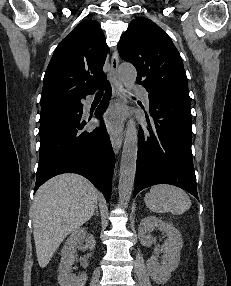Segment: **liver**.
Listing matches in <instances>:
<instances>
[{
  "label": "liver",
  "instance_id": "6515ba94",
  "mask_svg": "<svg viewBox=\"0 0 231 286\" xmlns=\"http://www.w3.org/2000/svg\"><path fill=\"white\" fill-rule=\"evenodd\" d=\"M97 190L77 174H61L44 183L32 206L38 264L47 266L62 241L94 214Z\"/></svg>",
  "mask_w": 231,
  "mask_h": 286
}]
</instances>
